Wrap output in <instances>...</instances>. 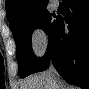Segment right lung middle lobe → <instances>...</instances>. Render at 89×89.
I'll return each instance as SVG.
<instances>
[{
  "label": "right lung middle lobe",
  "mask_w": 89,
  "mask_h": 89,
  "mask_svg": "<svg viewBox=\"0 0 89 89\" xmlns=\"http://www.w3.org/2000/svg\"><path fill=\"white\" fill-rule=\"evenodd\" d=\"M52 16L54 14L45 10L21 19L11 27L16 42V58L20 77L25 78L36 72L41 58H37L32 51L31 34L36 27L43 28L48 32L50 39L58 24V20H53Z\"/></svg>",
  "instance_id": "right-lung-middle-lobe-1"
}]
</instances>
